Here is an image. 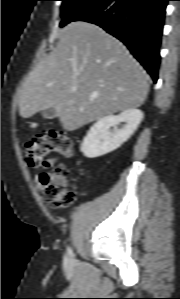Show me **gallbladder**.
<instances>
[{"label":"gallbladder","mask_w":180,"mask_h":299,"mask_svg":"<svg viewBox=\"0 0 180 299\" xmlns=\"http://www.w3.org/2000/svg\"><path fill=\"white\" fill-rule=\"evenodd\" d=\"M42 116L45 119H54L57 117V112L54 108H48L42 111Z\"/></svg>","instance_id":"obj_1"}]
</instances>
